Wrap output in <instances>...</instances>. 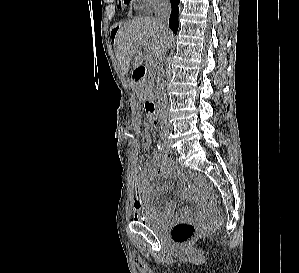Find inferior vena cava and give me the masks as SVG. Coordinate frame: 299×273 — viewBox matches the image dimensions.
<instances>
[{"mask_svg":"<svg viewBox=\"0 0 299 273\" xmlns=\"http://www.w3.org/2000/svg\"><path fill=\"white\" fill-rule=\"evenodd\" d=\"M155 19L159 24L160 28L163 31H169L168 20L171 13V4L170 0H156L155 2ZM165 57V52L161 55L160 60L163 61ZM164 81L161 83L162 88L164 87ZM167 97L166 94L163 93L161 95V115L165 117L167 113ZM166 128V127H165Z\"/></svg>","mask_w":299,"mask_h":273,"instance_id":"602c4592","label":"inferior vena cava"}]
</instances>
